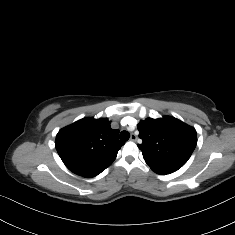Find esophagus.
Here are the masks:
<instances>
[{"mask_svg": "<svg viewBox=\"0 0 235 235\" xmlns=\"http://www.w3.org/2000/svg\"><path fill=\"white\" fill-rule=\"evenodd\" d=\"M130 141H137V136L134 133L131 134Z\"/></svg>", "mask_w": 235, "mask_h": 235, "instance_id": "1", "label": "esophagus"}]
</instances>
